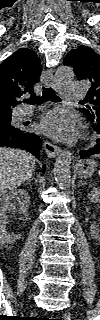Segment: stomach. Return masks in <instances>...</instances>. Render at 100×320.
<instances>
[{"label":"stomach","mask_w":100,"mask_h":320,"mask_svg":"<svg viewBox=\"0 0 100 320\" xmlns=\"http://www.w3.org/2000/svg\"><path fill=\"white\" fill-rule=\"evenodd\" d=\"M97 169V162L92 159H86L77 164V173L80 178H90Z\"/></svg>","instance_id":"stomach-1"}]
</instances>
